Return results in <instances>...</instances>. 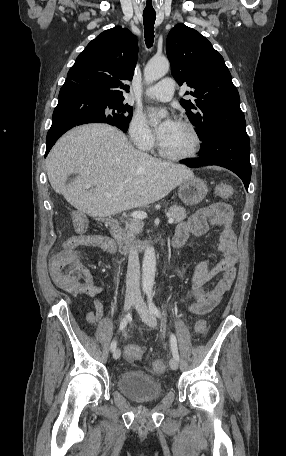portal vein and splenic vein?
<instances>
[{"mask_svg": "<svg viewBox=\"0 0 286 456\" xmlns=\"http://www.w3.org/2000/svg\"><path fill=\"white\" fill-rule=\"evenodd\" d=\"M95 184L94 183H90L88 185V188L94 186ZM132 217L136 218V219H145L147 217V213L144 212V211H135L133 212L132 214ZM174 222V219L172 217H168V223L169 224H172Z\"/></svg>", "mask_w": 286, "mask_h": 456, "instance_id": "1", "label": "portal vein and splenic vein"}]
</instances>
